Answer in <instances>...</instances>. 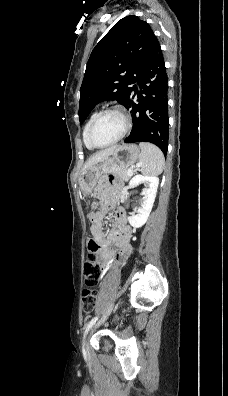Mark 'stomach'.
I'll return each instance as SVG.
<instances>
[{
    "instance_id": "0dacf381",
    "label": "stomach",
    "mask_w": 228,
    "mask_h": 396,
    "mask_svg": "<svg viewBox=\"0 0 228 396\" xmlns=\"http://www.w3.org/2000/svg\"><path fill=\"white\" fill-rule=\"evenodd\" d=\"M141 151L136 144H123L118 146L114 152L104 160L87 168L81 173L79 187L84 196L93 192L100 176L106 173V169L112 165L129 167L140 159Z\"/></svg>"
}]
</instances>
